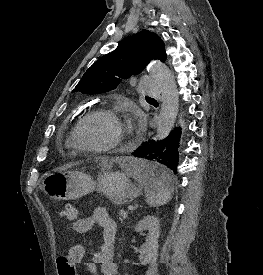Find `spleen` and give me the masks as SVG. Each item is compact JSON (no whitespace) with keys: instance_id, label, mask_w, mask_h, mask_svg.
<instances>
[{"instance_id":"3e777b00","label":"spleen","mask_w":263,"mask_h":275,"mask_svg":"<svg viewBox=\"0 0 263 275\" xmlns=\"http://www.w3.org/2000/svg\"><path fill=\"white\" fill-rule=\"evenodd\" d=\"M122 167L140 186L144 187L146 202L150 207H159L172 198L173 189L165 182L150 175V165L143 160L126 158Z\"/></svg>"}]
</instances>
